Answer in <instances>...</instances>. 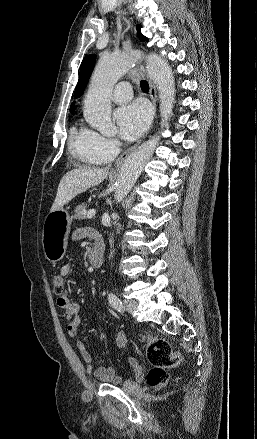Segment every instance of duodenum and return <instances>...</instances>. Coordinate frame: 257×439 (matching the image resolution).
<instances>
[{"mask_svg":"<svg viewBox=\"0 0 257 439\" xmlns=\"http://www.w3.org/2000/svg\"><path fill=\"white\" fill-rule=\"evenodd\" d=\"M105 245L103 241H95L91 253V263L94 268H100L104 262Z\"/></svg>","mask_w":257,"mask_h":439,"instance_id":"410a0bca","label":"duodenum"}]
</instances>
